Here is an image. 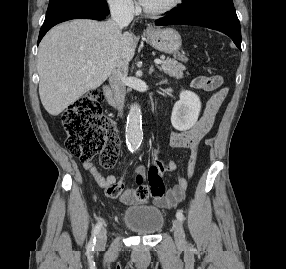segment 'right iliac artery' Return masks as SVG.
Instances as JSON below:
<instances>
[{
  "label": "right iliac artery",
  "mask_w": 286,
  "mask_h": 269,
  "mask_svg": "<svg viewBox=\"0 0 286 269\" xmlns=\"http://www.w3.org/2000/svg\"><path fill=\"white\" fill-rule=\"evenodd\" d=\"M101 227H102L101 221L98 222V223L96 224V226L94 227V229H93V231H92L91 239H90L89 244H88V247H87L88 250H90V251H93V250H94V247H95V244H96V238H97V236H98V233H99Z\"/></svg>",
  "instance_id": "obj_1"
}]
</instances>
